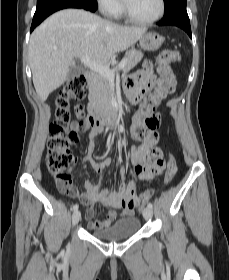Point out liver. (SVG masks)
<instances>
[{
	"mask_svg": "<svg viewBox=\"0 0 229 280\" xmlns=\"http://www.w3.org/2000/svg\"><path fill=\"white\" fill-rule=\"evenodd\" d=\"M146 28L127 27L79 9L48 17L31 35L28 49L33 84L42 102L67 79L75 58L88 56L107 63L134 45Z\"/></svg>",
	"mask_w": 229,
	"mask_h": 280,
	"instance_id": "6515ba94",
	"label": "liver"
}]
</instances>
